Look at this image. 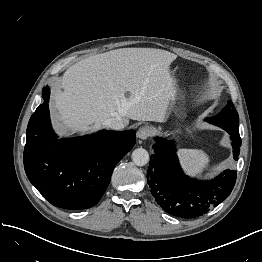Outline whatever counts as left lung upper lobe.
<instances>
[{
	"label": "left lung upper lobe",
	"instance_id": "5c2ea615",
	"mask_svg": "<svg viewBox=\"0 0 262 262\" xmlns=\"http://www.w3.org/2000/svg\"><path fill=\"white\" fill-rule=\"evenodd\" d=\"M206 120L222 128L239 129V116L231 101L217 116Z\"/></svg>",
	"mask_w": 262,
	"mask_h": 262
}]
</instances>
